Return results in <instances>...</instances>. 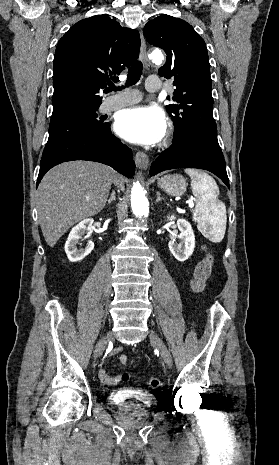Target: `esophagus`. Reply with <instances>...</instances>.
Returning a JSON list of instances; mask_svg holds the SVG:
<instances>
[{"label": "esophagus", "mask_w": 279, "mask_h": 465, "mask_svg": "<svg viewBox=\"0 0 279 465\" xmlns=\"http://www.w3.org/2000/svg\"><path fill=\"white\" fill-rule=\"evenodd\" d=\"M140 39H141L140 59L145 65V67H148L149 59H148L147 52H146V44H145L144 36L141 31H140ZM135 164L138 168L147 169L149 165L148 155L145 154L144 152H137L135 155Z\"/></svg>", "instance_id": "obj_1"}]
</instances>
